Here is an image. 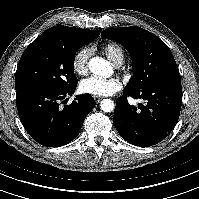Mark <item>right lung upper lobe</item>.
<instances>
[{
  "mask_svg": "<svg viewBox=\"0 0 199 199\" xmlns=\"http://www.w3.org/2000/svg\"><path fill=\"white\" fill-rule=\"evenodd\" d=\"M100 34L98 30L79 29L74 27H67L63 25L54 26L43 32L42 36H49L61 41H75V40H95Z\"/></svg>",
  "mask_w": 199,
  "mask_h": 199,
  "instance_id": "obj_1",
  "label": "right lung upper lobe"
}]
</instances>
